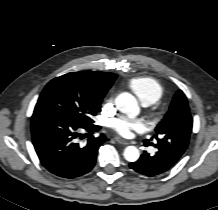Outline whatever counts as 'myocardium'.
Listing matches in <instances>:
<instances>
[{"label": "myocardium", "mask_w": 218, "mask_h": 210, "mask_svg": "<svg viewBox=\"0 0 218 210\" xmlns=\"http://www.w3.org/2000/svg\"><path fill=\"white\" fill-rule=\"evenodd\" d=\"M149 115L151 118L155 119L158 116V112L155 109H151Z\"/></svg>", "instance_id": "1"}]
</instances>
